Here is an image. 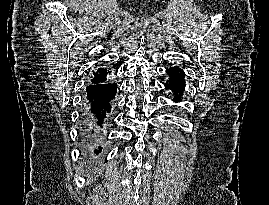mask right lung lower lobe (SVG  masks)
Segmentation results:
<instances>
[{"instance_id":"right-lung-lower-lobe-1","label":"right lung lower lobe","mask_w":269,"mask_h":205,"mask_svg":"<svg viewBox=\"0 0 269 205\" xmlns=\"http://www.w3.org/2000/svg\"><path fill=\"white\" fill-rule=\"evenodd\" d=\"M117 92V84L112 82L90 84L86 87V97L83 109V132L89 141L95 142V137L102 131L107 117L112 109L111 103ZM98 155L102 147L93 148Z\"/></svg>"}]
</instances>
